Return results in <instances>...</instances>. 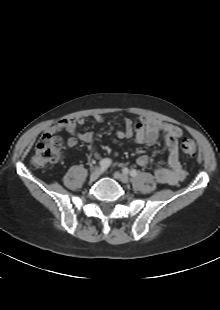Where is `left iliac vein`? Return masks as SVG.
I'll return each instance as SVG.
<instances>
[{
	"label": "left iliac vein",
	"mask_w": 220,
	"mask_h": 310,
	"mask_svg": "<svg viewBox=\"0 0 220 310\" xmlns=\"http://www.w3.org/2000/svg\"><path fill=\"white\" fill-rule=\"evenodd\" d=\"M114 178L119 180L122 183H128L129 182V177L124 173L115 172Z\"/></svg>",
	"instance_id": "left-iliac-vein-1"
}]
</instances>
